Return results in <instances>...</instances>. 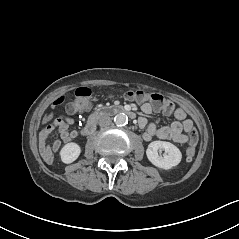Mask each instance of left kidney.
I'll return each mask as SVG.
<instances>
[{"instance_id": "obj_1", "label": "left kidney", "mask_w": 239, "mask_h": 239, "mask_svg": "<svg viewBox=\"0 0 239 239\" xmlns=\"http://www.w3.org/2000/svg\"><path fill=\"white\" fill-rule=\"evenodd\" d=\"M162 151H164L163 155H161ZM146 155L153 165L166 170L178 165L182 158L180 150L166 141L151 142L146 150Z\"/></svg>"}]
</instances>
